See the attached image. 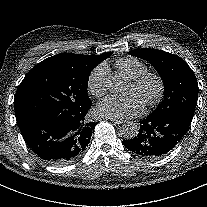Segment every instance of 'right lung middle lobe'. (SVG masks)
Returning <instances> with one entry per match:
<instances>
[{
    "label": "right lung middle lobe",
    "instance_id": "right-lung-middle-lobe-1",
    "mask_svg": "<svg viewBox=\"0 0 207 207\" xmlns=\"http://www.w3.org/2000/svg\"><path fill=\"white\" fill-rule=\"evenodd\" d=\"M91 71L69 62L38 63L24 77L14 98L16 120L54 111L57 115L73 116L92 106L87 94Z\"/></svg>",
    "mask_w": 207,
    "mask_h": 207
}]
</instances>
